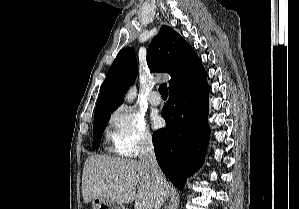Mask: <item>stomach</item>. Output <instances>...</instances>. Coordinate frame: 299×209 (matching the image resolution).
<instances>
[{"mask_svg":"<svg viewBox=\"0 0 299 209\" xmlns=\"http://www.w3.org/2000/svg\"><path fill=\"white\" fill-rule=\"evenodd\" d=\"M92 209H124L122 205L110 202L103 198H94L92 200Z\"/></svg>","mask_w":299,"mask_h":209,"instance_id":"obj_1","label":"stomach"}]
</instances>
